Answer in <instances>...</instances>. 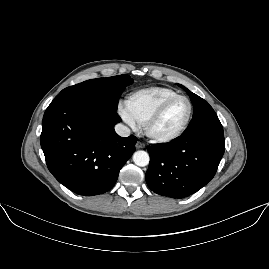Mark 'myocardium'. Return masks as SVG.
Segmentation results:
<instances>
[{
  "label": "myocardium",
  "mask_w": 269,
  "mask_h": 269,
  "mask_svg": "<svg viewBox=\"0 0 269 269\" xmlns=\"http://www.w3.org/2000/svg\"><path fill=\"white\" fill-rule=\"evenodd\" d=\"M184 99L188 103V112L182 126L174 133L168 136H157L152 131V126L161 118L167 108L176 100ZM192 116V103L190 99L184 95H176L165 100L161 103L157 109L147 118L145 124L143 125V130L145 135L153 142L157 144H165L179 138L187 129L190 119Z\"/></svg>",
  "instance_id": "1"
}]
</instances>
